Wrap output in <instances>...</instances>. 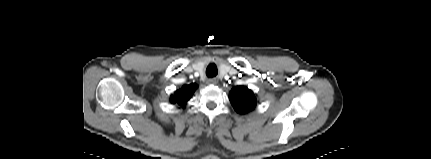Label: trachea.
Segmentation results:
<instances>
[{"label": "trachea", "mask_w": 431, "mask_h": 159, "mask_svg": "<svg viewBox=\"0 0 431 159\" xmlns=\"http://www.w3.org/2000/svg\"><path fill=\"white\" fill-rule=\"evenodd\" d=\"M206 74L208 77H215L218 74L216 65L210 64L206 69Z\"/></svg>", "instance_id": "3493384b"}]
</instances>
